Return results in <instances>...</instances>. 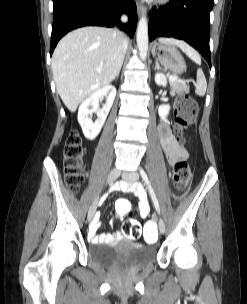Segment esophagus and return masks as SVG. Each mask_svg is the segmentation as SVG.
Here are the masks:
<instances>
[{"mask_svg": "<svg viewBox=\"0 0 247 304\" xmlns=\"http://www.w3.org/2000/svg\"><path fill=\"white\" fill-rule=\"evenodd\" d=\"M137 12H138V15H141V14H143V12H144V7H143V5L141 4V3H137Z\"/></svg>", "mask_w": 247, "mask_h": 304, "instance_id": "1", "label": "esophagus"}]
</instances>
